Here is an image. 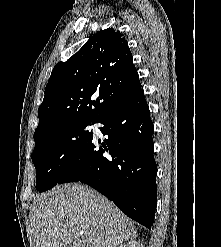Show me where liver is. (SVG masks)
<instances>
[{
	"instance_id": "6515ba94",
	"label": "liver",
	"mask_w": 221,
	"mask_h": 247,
	"mask_svg": "<svg viewBox=\"0 0 221 247\" xmlns=\"http://www.w3.org/2000/svg\"><path fill=\"white\" fill-rule=\"evenodd\" d=\"M30 225L34 247H116L137 237L134 224L112 202L81 184L37 197Z\"/></svg>"
}]
</instances>
